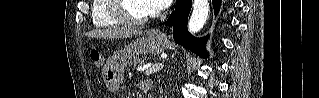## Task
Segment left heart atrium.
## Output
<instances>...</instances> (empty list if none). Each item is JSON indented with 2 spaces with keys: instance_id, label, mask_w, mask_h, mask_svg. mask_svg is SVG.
<instances>
[{
  "instance_id": "left-heart-atrium-1",
  "label": "left heart atrium",
  "mask_w": 319,
  "mask_h": 98,
  "mask_svg": "<svg viewBox=\"0 0 319 98\" xmlns=\"http://www.w3.org/2000/svg\"><path fill=\"white\" fill-rule=\"evenodd\" d=\"M152 14L165 10L171 4L172 0H147Z\"/></svg>"
}]
</instances>
